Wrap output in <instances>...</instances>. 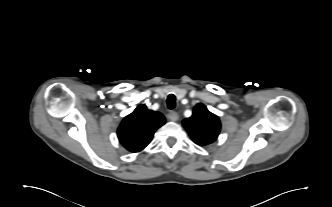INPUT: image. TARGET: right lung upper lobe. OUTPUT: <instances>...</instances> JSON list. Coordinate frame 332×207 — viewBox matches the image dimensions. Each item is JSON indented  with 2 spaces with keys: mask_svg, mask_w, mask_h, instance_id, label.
I'll return each instance as SVG.
<instances>
[{
  "mask_svg": "<svg viewBox=\"0 0 332 207\" xmlns=\"http://www.w3.org/2000/svg\"><path fill=\"white\" fill-rule=\"evenodd\" d=\"M165 123L164 116L138 105L127 115L117 130L120 143L130 152H139L152 140L155 131Z\"/></svg>",
  "mask_w": 332,
  "mask_h": 207,
  "instance_id": "1",
  "label": "right lung upper lobe"
}]
</instances>
